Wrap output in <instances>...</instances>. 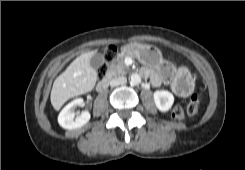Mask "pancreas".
Instances as JSON below:
<instances>
[{"label":"pancreas","instance_id":"cf45deb5","mask_svg":"<svg viewBox=\"0 0 245 170\" xmlns=\"http://www.w3.org/2000/svg\"><path fill=\"white\" fill-rule=\"evenodd\" d=\"M127 56H130V54L127 51H123L117 55V57L113 60V62L110 64L108 68V78L125 75L127 73L129 67L126 66L124 63V59Z\"/></svg>","mask_w":245,"mask_h":170}]
</instances>
